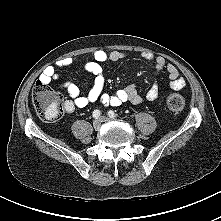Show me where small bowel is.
I'll use <instances>...</instances> for the list:
<instances>
[{"instance_id": "obj_1", "label": "small bowel", "mask_w": 221, "mask_h": 221, "mask_svg": "<svg viewBox=\"0 0 221 221\" xmlns=\"http://www.w3.org/2000/svg\"><path fill=\"white\" fill-rule=\"evenodd\" d=\"M126 57V52H107L104 50H96L87 55L65 57L60 59L56 63V66L46 67L40 75L39 81L49 84L51 81L59 79L57 68L83 62L85 70L94 76L93 85L86 95H81L79 87L73 82L65 81L59 84V87L68 94V99L64 102V110L66 114H72L76 108H84L90 103L96 101L111 106H120L125 102L137 105L141 103L142 97L133 85L120 89L113 94L104 92L105 77L103 74V64L116 62L125 59ZM142 57L154 63L156 73L166 69L171 89L178 91L185 87L186 82L184 78L180 76L178 69L172 64H166L163 57L154 56L150 53H142ZM146 97L151 101L158 98V86L156 84L148 89Z\"/></svg>"}]
</instances>
